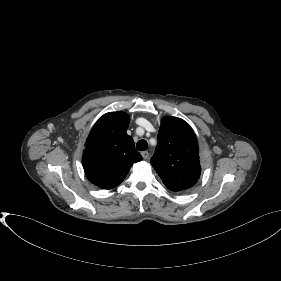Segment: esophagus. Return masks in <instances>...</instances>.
Wrapping results in <instances>:
<instances>
[{
  "label": "esophagus",
  "mask_w": 281,
  "mask_h": 281,
  "mask_svg": "<svg viewBox=\"0 0 281 281\" xmlns=\"http://www.w3.org/2000/svg\"><path fill=\"white\" fill-rule=\"evenodd\" d=\"M141 155H142L143 159H148L149 152L148 151H143V152H141Z\"/></svg>",
  "instance_id": "esophagus-1"
}]
</instances>
